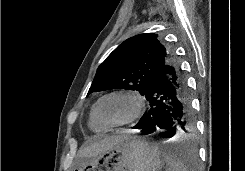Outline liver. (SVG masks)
Here are the masks:
<instances>
[{"instance_id":"obj_1","label":"liver","mask_w":245,"mask_h":171,"mask_svg":"<svg viewBox=\"0 0 245 171\" xmlns=\"http://www.w3.org/2000/svg\"><path fill=\"white\" fill-rule=\"evenodd\" d=\"M125 135H117L103 138L82 148L78 154L79 158L96 157L99 154L113 148Z\"/></svg>"}]
</instances>
